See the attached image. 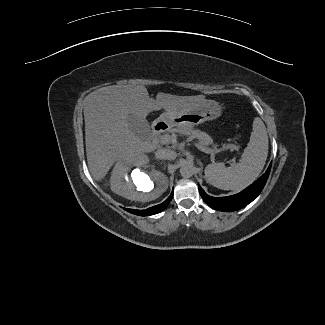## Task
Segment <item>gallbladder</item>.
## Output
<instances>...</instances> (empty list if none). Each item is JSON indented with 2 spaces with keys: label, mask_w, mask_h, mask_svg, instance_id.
Here are the masks:
<instances>
[{
  "label": "gallbladder",
  "mask_w": 325,
  "mask_h": 325,
  "mask_svg": "<svg viewBox=\"0 0 325 325\" xmlns=\"http://www.w3.org/2000/svg\"><path fill=\"white\" fill-rule=\"evenodd\" d=\"M128 123L132 132L142 140H149L151 138V128L146 119L130 114Z\"/></svg>",
  "instance_id": "1"
}]
</instances>
